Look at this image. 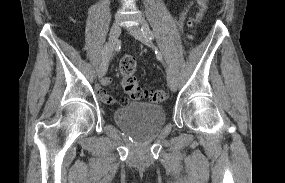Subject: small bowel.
<instances>
[{
	"instance_id": "obj_1",
	"label": "small bowel",
	"mask_w": 285,
	"mask_h": 183,
	"mask_svg": "<svg viewBox=\"0 0 285 183\" xmlns=\"http://www.w3.org/2000/svg\"><path fill=\"white\" fill-rule=\"evenodd\" d=\"M111 83L110 78H104L102 80V86L96 88L98 96L105 102L113 103L114 98L110 96L104 89L103 86H108Z\"/></svg>"
}]
</instances>
